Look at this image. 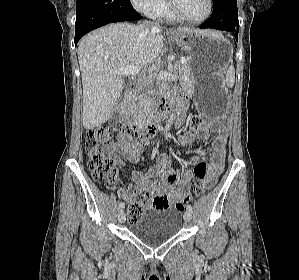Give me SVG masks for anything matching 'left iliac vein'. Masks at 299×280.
Here are the masks:
<instances>
[{"mask_svg": "<svg viewBox=\"0 0 299 280\" xmlns=\"http://www.w3.org/2000/svg\"><path fill=\"white\" fill-rule=\"evenodd\" d=\"M191 219H192V213H191V211H188V210H187V211L184 213V220H185L186 222H190Z\"/></svg>", "mask_w": 299, "mask_h": 280, "instance_id": "4c4485c4", "label": "left iliac vein"}]
</instances>
